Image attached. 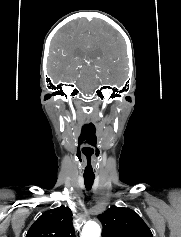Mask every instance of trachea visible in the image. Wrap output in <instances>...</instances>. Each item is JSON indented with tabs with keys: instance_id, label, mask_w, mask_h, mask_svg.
<instances>
[{
	"instance_id": "1",
	"label": "trachea",
	"mask_w": 181,
	"mask_h": 237,
	"mask_svg": "<svg viewBox=\"0 0 181 237\" xmlns=\"http://www.w3.org/2000/svg\"><path fill=\"white\" fill-rule=\"evenodd\" d=\"M94 182V178L84 177V183L87 190H90Z\"/></svg>"
}]
</instances>
